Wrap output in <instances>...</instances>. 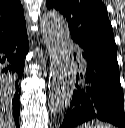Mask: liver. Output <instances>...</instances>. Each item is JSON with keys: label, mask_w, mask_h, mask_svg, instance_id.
I'll return each mask as SVG.
<instances>
[{"label": "liver", "mask_w": 125, "mask_h": 128, "mask_svg": "<svg viewBox=\"0 0 125 128\" xmlns=\"http://www.w3.org/2000/svg\"><path fill=\"white\" fill-rule=\"evenodd\" d=\"M12 91L0 83V128H14L11 114Z\"/></svg>", "instance_id": "liver-1"}]
</instances>
